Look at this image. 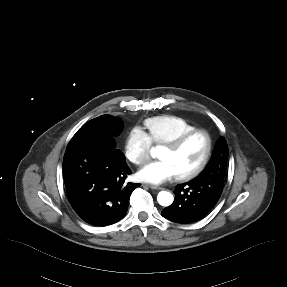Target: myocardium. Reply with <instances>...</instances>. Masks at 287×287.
I'll return each mask as SVG.
<instances>
[{
    "mask_svg": "<svg viewBox=\"0 0 287 287\" xmlns=\"http://www.w3.org/2000/svg\"><path fill=\"white\" fill-rule=\"evenodd\" d=\"M196 135H203L205 140H206V148H205L204 155H203L201 161L199 162V164L197 166H195L193 169H191L190 171H188L186 173H183V174L176 176V178L178 180H190V179L196 177L198 174H200L204 170V168L207 166V164L210 160L212 150H213L212 137H211L210 133L208 131H206L205 129H193V130L186 132L185 134L181 135L176 140L171 141L169 143H166L164 145L165 148L176 152V151H179L180 149H182L183 146Z\"/></svg>",
    "mask_w": 287,
    "mask_h": 287,
    "instance_id": "myocardium-1",
    "label": "myocardium"
}]
</instances>
